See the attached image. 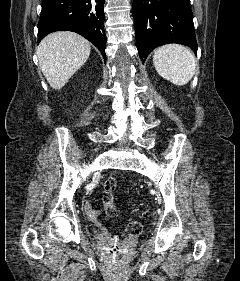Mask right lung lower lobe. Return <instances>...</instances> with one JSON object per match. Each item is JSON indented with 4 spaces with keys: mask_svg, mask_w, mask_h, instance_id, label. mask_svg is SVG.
Returning a JSON list of instances; mask_svg holds the SVG:
<instances>
[{
    "mask_svg": "<svg viewBox=\"0 0 240 281\" xmlns=\"http://www.w3.org/2000/svg\"><path fill=\"white\" fill-rule=\"evenodd\" d=\"M105 0H43L38 42L51 32H76L92 42L106 61Z\"/></svg>",
    "mask_w": 240,
    "mask_h": 281,
    "instance_id": "obj_1",
    "label": "right lung lower lobe"
}]
</instances>
